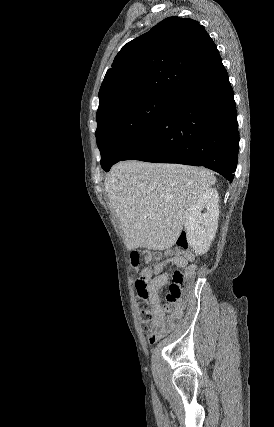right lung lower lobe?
I'll return each mask as SVG.
<instances>
[{"label":"right lung lower lobe","instance_id":"right-lung-lower-lobe-1","mask_svg":"<svg viewBox=\"0 0 274 427\" xmlns=\"http://www.w3.org/2000/svg\"><path fill=\"white\" fill-rule=\"evenodd\" d=\"M238 147L236 106L224 68L176 96L158 124L121 160L204 166L232 182Z\"/></svg>","mask_w":274,"mask_h":427}]
</instances>
